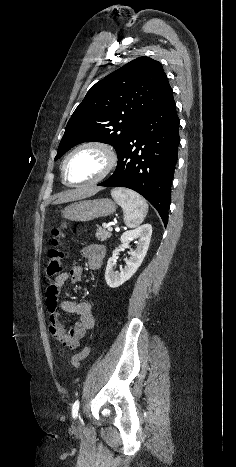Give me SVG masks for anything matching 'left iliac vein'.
I'll return each instance as SVG.
<instances>
[{
  "label": "left iliac vein",
  "instance_id": "obj_1",
  "mask_svg": "<svg viewBox=\"0 0 236 467\" xmlns=\"http://www.w3.org/2000/svg\"><path fill=\"white\" fill-rule=\"evenodd\" d=\"M80 424H81V419H80V416H79L77 421L75 422V426H80Z\"/></svg>",
  "mask_w": 236,
  "mask_h": 467
}]
</instances>
